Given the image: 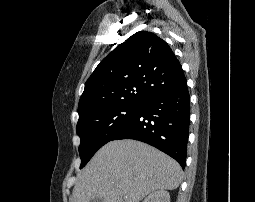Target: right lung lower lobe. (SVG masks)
<instances>
[{
  "mask_svg": "<svg viewBox=\"0 0 255 202\" xmlns=\"http://www.w3.org/2000/svg\"><path fill=\"white\" fill-rule=\"evenodd\" d=\"M190 95L187 81L144 101L112 140L135 139L174 158L184 169L189 137Z\"/></svg>",
  "mask_w": 255,
  "mask_h": 202,
  "instance_id": "98d812e1",
  "label": "right lung lower lobe"
}]
</instances>
